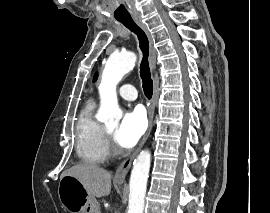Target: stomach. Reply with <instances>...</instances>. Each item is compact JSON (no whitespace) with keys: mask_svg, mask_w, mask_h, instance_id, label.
I'll list each match as a JSON object with an SVG mask.
<instances>
[{"mask_svg":"<svg viewBox=\"0 0 270 213\" xmlns=\"http://www.w3.org/2000/svg\"><path fill=\"white\" fill-rule=\"evenodd\" d=\"M59 200L69 213H100L99 203L73 176H63L58 186Z\"/></svg>","mask_w":270,"mask_h":213,"instance_id":"1","label":"stomach"}]
</instances>
